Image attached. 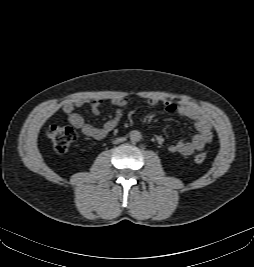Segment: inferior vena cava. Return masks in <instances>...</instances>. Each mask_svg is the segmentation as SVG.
<instances>
[{
    "label": "inferior vena cava",
    "instance_id": "obj_1",
    "mask_svg": "<svg viewBox=\"0 0 254 267\" xmlns=\"http://www.w3.org/2000/svg\"><path fill=\"white\" fill-rule=\"evenodd\" d=\"M123 141V138H117L116 140H114L113 142L115 144L119 143V142H122Z\"/></svg>",
    "mask_w": 254,
    "mask_h": 267
}]
</instances>
